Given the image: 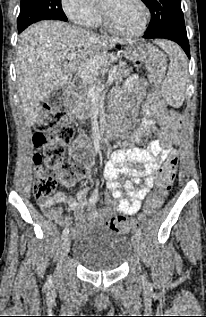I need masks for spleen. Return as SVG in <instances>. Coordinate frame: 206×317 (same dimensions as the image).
Returning a JSON list of instances; mask_svg holds the SVG:
<instances>
[{
	"label": "spleen",
	"mask_w": 206,
	"mask_h": 317,
	"mask_svg": "<svg viewBox=\"0 0 206 317\" xmlns=\"http://www.w3.org/2000/svg\"><path fill=\"white\" fill-rule=\"evenodd\" d=\"M156 43L170 59L167 76L162 85V96L168 105L179 108L184 102L187 87V58L182 49L171 41L159 40Z\"/></svg>",
	"instance_id": "obj_1"
}]
</instances>
